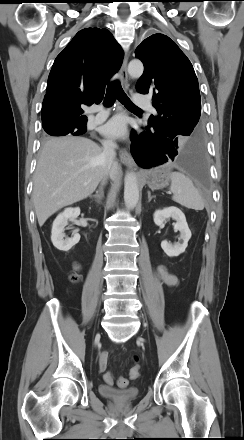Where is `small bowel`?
Wrapping results in <instances>:
<instances>
[{"instance_id": "small-bowel-1", "label": "small bowel", "mask_w": 244, "mask_h": 440, "mask_svg": "<svg viewBox=\"0 0 244 440\" xmlns=\"http://www.w3.org/2000/svg\"><path fill=\"white\" fill-rule=\"evenodd\" d=\"M158 274L160 279L163 281L164 284L167 286H175L178 283L177 277L169 272V270L164 266L158 267ZM107 358L108 354L106 352H102L99 356V369L101 372H104L107 367Z\"/></svg>"}]
</instances>
